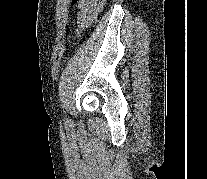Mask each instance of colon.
<instances>
[{
	"mask_svg": "<svg viewBox=\"0 0 207 179\" xmlns=\"http://www.w3.org/2000/svg\"><path fill=\"white\" fill-rule=\"evenodd\" d=\"M76 2V0H71V3L74 4Z\"/></svg>",
	"mask_w": 207,
	"mask_h": 179,
	"instance_id": "1",
	"label": "colon"
}]
</instances>
